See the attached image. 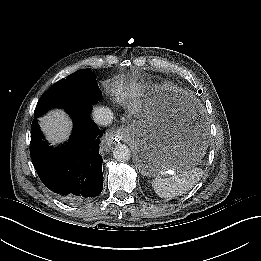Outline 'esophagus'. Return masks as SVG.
<instances>
[{"instance_id":"esophagus-1","label":"esophagus","mask_w":261,"mask_h":261,"mask_svg":"<svg viewBox=\"0 0 261 261\" xmlns=\"http://www.w3.org/2000/svg\"><path fill=\"white\" fill-rule=\"evenodd\" d=\"M124 133L123 128L110 132L106 137V144L102 147V150L109 151L113 145H116L123 138Z\"/></svg>"}]
</instances>
